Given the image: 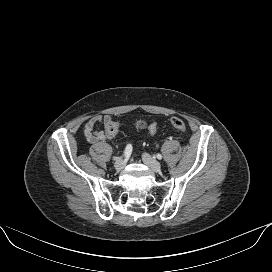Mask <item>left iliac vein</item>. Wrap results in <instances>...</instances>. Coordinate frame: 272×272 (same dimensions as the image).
<instances>
[{
	"mask_svg": "<svg viewBox=\"0 0 272 272\" xmlns=\"http://www.w3.org/2000/svg\"><path fill=\"white\" fill-rule=\"evenodd\" d=\"M142 160L152 171L159 172L161 170V164L149 154L144 153L142 155Z\"/></svg>",
	"mask_w": 272,
	"mask_h": 272,
	"instance_id": "left-iliac-vein-1",
	"label": "left iliac vein"
}]
</instances>
